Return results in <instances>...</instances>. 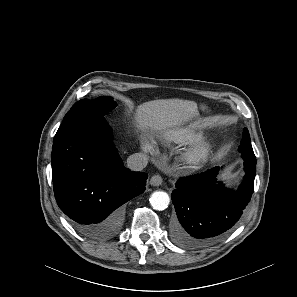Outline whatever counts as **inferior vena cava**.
<instances>
[{
	"label": "inferior vena cava",
	"mask_w": 297,
	"mask_h": 297,
	"mask_svg": "<svg viewBox=\"0 0 297 297\" xmlns=\"http://www.w3.org/2000/svg\"><path fill=\"white\" fill-rule=\"evenodd\" d=\"M148 164V157L143 153H134L127 158V166L132 171H141Z\"/></svg>",
	"instance_id": "inferior-vena-cava-1"
}]
</instances>
